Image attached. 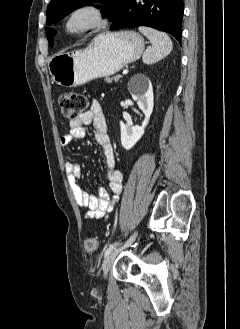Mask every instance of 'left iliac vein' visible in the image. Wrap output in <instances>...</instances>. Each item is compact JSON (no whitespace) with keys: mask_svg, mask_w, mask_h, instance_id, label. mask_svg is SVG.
<instances>
[{"mask_svg":"<svg viewBox=\"0 0 240 329\" xmlns=\"http://www.w3.org/2000/svg\"><path fill=\"white\" fill-rule=\"evenodd\" d=\"M137 234L138 232L135 231L132 236L125 242V244L123 246H121L120 248L118 249H115L113 251H111L104 259V262L102 264V268H103V273H104V276L107 275V273L110 271L111 267H112V264L117 256V254L125 249L126 247L130 246L136 239L137 237Z\"/></svg>","mask_w":240,"mask_h":329,"instance_id":"left-iliac-vein-1","label":"left iliac vein"}]
</instances>
